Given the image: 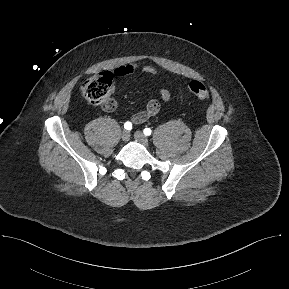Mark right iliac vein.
Returning <instances> with one entry per match:
<instances>
[{"mask_svg": "<svg viewBox=\"0 0 289 289\" xmlns=\"http://www.w3.org/2000/svg\"><path fill=\"white\" fill-rule=\"evenodd\" d=\"M121 138L123 141H128L130 139V133L129 131L127 130H124L122 133H121Z\"/></svg>", "mask_w": 289, "mask_h": 289, "instance_id": "1", "label": "right iliac vein"}]
</instances>
